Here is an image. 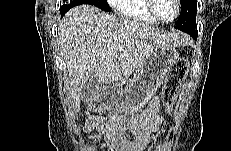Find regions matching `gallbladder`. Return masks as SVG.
Wrapping results in <instances>:
<instances>
[{
  "label": "gallbladder",
  "mask_w": 231,
  "mask_h": 151,
  "mask_svg": "<svg viewBox=\"0 0 231 151\" xmlns=\"http://www.w3.org/2000/svg\"><path fill=\"white\" fill-rule=\"evenodd\" d=\"M101 91V85L99 79L95 73H93L82 87L80 96L83 102L91 103L98 98V94Z\"/></svg>",
  "instance_id": "1"
}]
</instances>
